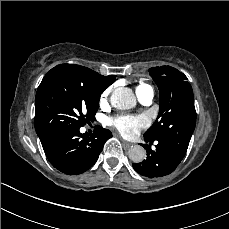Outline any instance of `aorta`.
Segmentation results:
<instances>
[{
  "label": "aorta",
  "instance_id": "aorta-1",
  "mask_svg": "<svg viewBox=\"0 0 229 229\" xmlns=\"http://www.w3.org/2000/svg\"><path fill=\"white\" fill-rule=\"evenodd\" d=\"M111 104L119 110L133 108L136 105V97L133 91L127 87L116 88L111 95ZM130 160L135 163L142 162L146 157V151L142 146H132L128 151Z\"/></svg>",
  "mask_w": 229,
  "mask_h": 229
}]
</instances>
